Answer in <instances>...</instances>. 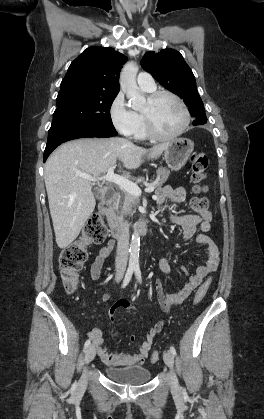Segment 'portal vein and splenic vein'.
Wrapping results in <instances>:
<instances>
[{"label":"portal vein and splenic vein","instance_id":"portal-vein-and-splenic-vein-1","mask_svg":"<svg viewBox=\"0 0 264 419\" xmlns=\"http://www.w3.org/2000/svg\"><path fill=\"white\" fill-rule=\"evenodd\" d=\"M80 176L92 182L107 181V182L117 184L118 186H120V188L124 189L126 192L134 196H140L142 193L141 189L139 188L137 184L131 182L130 180L122 176L114 174V167H111L107 171V174L102 177H92L86 174H81ZM154 189H155L154 185H150L149 187L145 189V192L151 193L154 191Z\"/></svg>","mask_w":264,"mask_h":419}]
</instances>
